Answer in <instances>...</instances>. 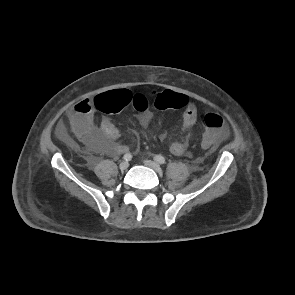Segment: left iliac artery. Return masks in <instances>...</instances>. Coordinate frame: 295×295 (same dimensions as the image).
Returning <instances> with one entry per match:
<instances>
[{
  "instance_id": "left-iliac-artery-1",
  "label": "left iliac artery",
  "mask_w": 295,
  "mask_h": 295,
  "mask_svg": "<svg viewBox=\"0 0 295 295\" xmlns=\"http://www.w3.org/2000/svg\"><path fill=\"white\" fill-rule=\"evenodd\" d=\"M154 160L160 164H165L166 163V160L165 158L162 156V155H156L154 157Z\"/></svg>"
}]
</instances>
